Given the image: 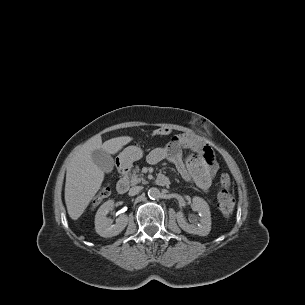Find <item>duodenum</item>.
<instances>
[{
  "mask_svg": "<svg viewBox=\"0 0 305 305\" xmlns=\"http://www.w3.org/2000/svg\"><path fill=\"white\" fill-rule=\"evenodd\" d=\"M118 171H119V175H120V180L118 181L116 188L120 194H124L129 189V181L126 178L128 169L126 166L121 164V165H119ZM156 183L159 186H167V185H169L170 181L165 175H159L156 179Z\"/></svg>",
  "mask_w": 305,
  "mask_h": 305,
  "instance_id": "410a0bca",
  "label": "duodenum"
}]
</instances>
